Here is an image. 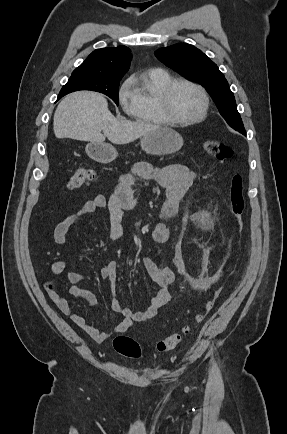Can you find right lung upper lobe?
Here are the masks:
<instances>
[{
	"mask_svg": "<svg viewBox=\"0 0 287 434\" xmlns=\"http://www.w3.org/2000/svg\"><path fill=\"white\" fill-rule=\"evenodd\" d=\"M131 58L130 49L126 46L97 49L73 73L120 79L128 71Z\"/></svg>",
	"mask_w": 287,
	"mask_h": 434,
	"instance_id": "cb5924a9",
	"label": "right lung upper lobe"
}]
</instances>
